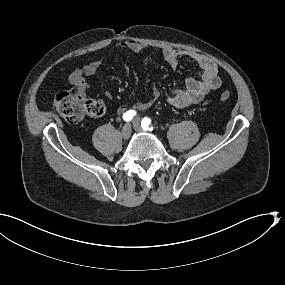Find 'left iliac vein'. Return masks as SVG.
<instances>
[{"instance_id":"4c4485c4","label":"left iliac vein","mask_w":285,"mask_h":285,"mask_svg":"<svg viewBox=\"0 0 285 285\" xmlns=\"http://www.w3.org/2000/svg\"><path fill=\"white\" fill-rule=\"evenodd\" d=\"M132 123H133V127H134V129H135L136 131H138V132H144L143 129L141 128V126H140V120H139V118H135Z\"/></svg>"}]
</instances>
